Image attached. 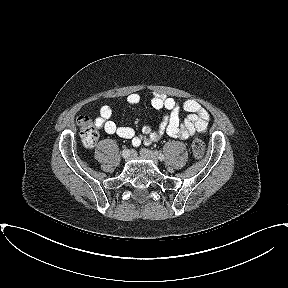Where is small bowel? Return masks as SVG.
<instances>
[{"label":"small bowel","mask_w":288,"mask_h":288,"mask_svg":"<svg viewBox=\"0 0 288 288\" xmlns=\"http://www.w3.org/2000/svg\"><path fill=\"white\" fill-rule=\"evenodd\" d=\"M141 97L138 93H132L127 97L130 104H138ZM151 106L156 110H166L158 129L151 126H144L142 133L136 135L135 131L128 126H118L113 120V111L110 106H103L99 116L96 118V126L103 129L107 134L117 135L120 138L130 139L133 146L138 147L142 143L148 144L159 140L163 135H168L175 139L186 140L195 133H205L208 128L209 113L203 106L195 100H186L180 105L173 98L157 94L152 97ZM188 112L189 115L181 120L180 110Z\"/></svg>","instance_id":"c3829d8e"}]
</instances>
